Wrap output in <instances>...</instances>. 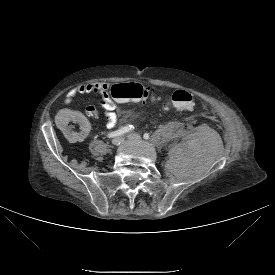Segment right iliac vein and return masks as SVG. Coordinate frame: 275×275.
Listing matches in <instances>:
<instances>
[{"mask_svg":"<svg viewBox=\"0 0 275 275\" xmlns=\"http://www.w3.org/2000/svg\"><path fill=\"white\" fill-rule=\"evenodd\" d=\"M124 141L123 137H116L112 140L114 146H119Z\"/></svg>","mask_w":275,"mask_h":275,"instance_id":"right-iliac-vein-1","label":"right iliac vein"}]
</instances>
